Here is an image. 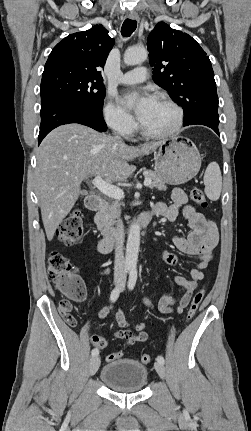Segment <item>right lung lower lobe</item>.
I'll return each mask as SVG.
<instances>
[{
    "label": "right lung lower lobe",
    "mask_w": 251,
    "mask_h": 431,
    "mask_svg": "<svg viewBox=\"0 0 251 431\" xmlns=\"http://www.w3.org/2000/svg\"><path fill=\"white\" fill-rule=\"evenodd\" d=\"M69 123H79L102 132L107 130L102 110L98 111L66 100H54L41 105L38 144L51 130Z\"/></svg>",
    "instance_id": "1"
}]
</instances>
